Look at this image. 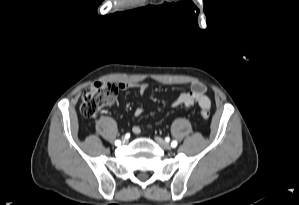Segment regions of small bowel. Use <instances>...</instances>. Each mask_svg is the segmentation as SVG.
<instances>
[{"instance_id":"1","label":"small bowel","mask_w":299,"mask_h":205,"mask_svg":"<svg viewBox=\"0 0 299 205\" xmlns=\"http://www.w3.org/2000/svg\"><path fill=\"white\" fill-rule=\"evenodd\" d=\"M118 87L120 89H138L141 96H144L148 85L146 83H132V82H123L119 83ZM205 86L199 82H193L190 85L188 91L180 93L172 102L173 107L184 106L190 107L194 104H198L202 109L208 110L211 106L209 97L206 95ZM144 109L141 105L137 104L134 108V116L137 118L141 116ZM132 132L134 134H140L141 128L137 125L133 126Z\"/></svg>"}]
</instances>
